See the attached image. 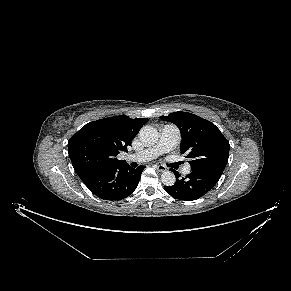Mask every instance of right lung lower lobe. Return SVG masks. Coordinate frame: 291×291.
<instances>
[{
	"label": "right lung lower lobe",
	"mask_w": 291,
	"mask_h": 291,
	"mask_svg": "<svg viewBox=\"0 0 291 291\" xmlns=\"http://www.w3.org/2000/svg\"><path fill=\"white\" fill-rule=\"evenodd\" d=\"M144 168L139 166L134 169L127 163L118 166L100 165L79 174V177L97 197L116 201L133 193Z\"/></svg>",
	"instance_id": "right-lung-lower-lobe-1"
}]
</instances>
